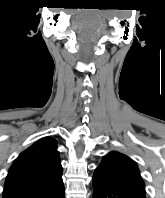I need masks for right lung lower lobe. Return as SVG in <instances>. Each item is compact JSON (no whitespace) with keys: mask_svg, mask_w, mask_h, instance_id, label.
<instances>
[{"mask_svg":"<svg viewBox=\"0 0 165 198\" xmlns=\"http://www.w3.org/2000/svg\"><path fill=\"white\" fill-rule=\"evenodd\" d=\"M53 198H64V189L53 196Z\"/></svg>","mask_w":165,"mask_h":198,"instance_id":"right-lung-lower-lobe-1","label":"right lung lower lobe"}]
</instances>
